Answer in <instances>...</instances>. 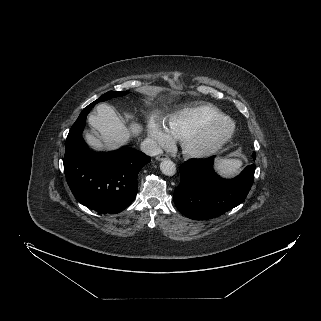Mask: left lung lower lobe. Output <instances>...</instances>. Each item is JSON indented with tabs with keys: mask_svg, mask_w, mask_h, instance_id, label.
Masks as SVG:
<instances>
[{
	"mask_svg": "<svg viewBox=\"0 0 321 321\" xmlns=\"http://www.w3.org/2000/svg\"><path fill=\"white\" fill-rule=\"evenodd\" d=\"M255 160V153H253ZM214 157L191 159L181 167L174 203L186 217L207 220L241 204L254 181L255 164L233 179H222L213 169Z\"/></svg>",
	"mask_w": 321,
	"mask_h": 321,
	"instance_id": "0a47b994",
	"label": "left lung lower lobe"
}]
</instances>
